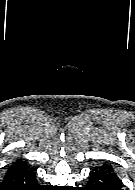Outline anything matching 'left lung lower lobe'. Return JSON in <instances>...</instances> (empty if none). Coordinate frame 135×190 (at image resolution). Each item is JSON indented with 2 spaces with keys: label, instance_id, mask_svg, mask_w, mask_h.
Wrapping results in <instances>:
<instances>
[{
  "label": "left lung lower lobe",
  "instance_id": "left-lung-lower-lobe-1",
  "mask_svg": "<svg viewBox=\"0 0 135 190\" xmlns=\"http://www.w3.org/2000/svg\"><path fill=\"white\" fill-rule=\"evenodd\" d=\"M87 190H123L113 168L107 164L94 168L89 177Z\"/></svg>",
  "mask_w": 135,
  "mask_h": 190
}]
</instances>
